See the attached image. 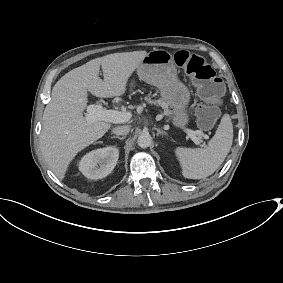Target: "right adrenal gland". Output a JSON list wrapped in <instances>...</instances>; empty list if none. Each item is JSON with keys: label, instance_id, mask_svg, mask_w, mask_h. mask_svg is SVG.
Instances as JSON below:
<instances>
[{"label": "right adrenal gland", "instance_id": "obj_1", "mask_svg": "<svg viewBox=\"0 0 283 283\" xmlns=\"http://www.w3.org/2000/svg\"><path fill=\"white\" fill-rule=\"evenodd\" d=\"M111 138L113 139V138H118V139H120V140H123V139H125L126 138V136H123V137H120V136H111Z\"/></svg>", "mask_w": 283, "mask_h": 283}]
</instances>
